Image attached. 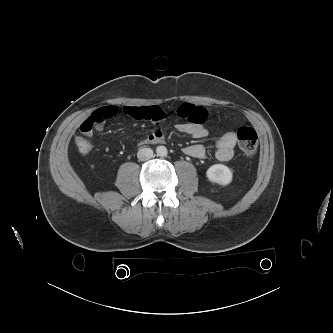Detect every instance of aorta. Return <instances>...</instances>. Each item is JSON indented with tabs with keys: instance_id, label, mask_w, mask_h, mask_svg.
<instances>
[{
	"instance_id": "1",
	"label": "aorta",
	"mask_w": 333,
	"mask_h": 333,
	"mask_svg": "<svg viewBox=\"0 0 333 333\" xmlns=\"http://www.w3.org/2000/svg\"><path fill=\"white\" fill-rule=\"evenodd\" d=\"M156 152L160 157H165L168 154L167 148L165 146H158Z\"/></svg>"
}]
</instances>
